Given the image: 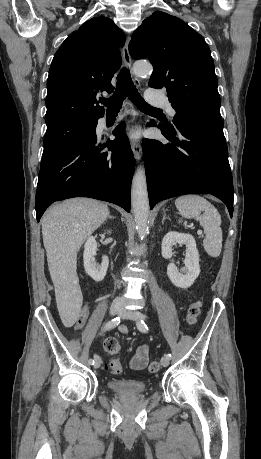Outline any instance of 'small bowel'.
I'll return each instance as SVG.
<instances>
[{
    "label": "small bowel",
    "instance_id": "c3829d8e",
    "mask_svg": "<svg viewBox=\"0 0 261 459\" xmlns=\"http://www.w3.org/2000/svg\"><path fill=\"white\" fill-rule=\"evenodd\" d=\"M89 310H90L89 304H85L81 309L80 316L82 318L86 319L88 314H89ZM120 330L122 332H126L125 326H121ZM99 335H101V334H99ZM148 354H149L148 346H146V345L139 346L136 349V351H135V353H134V355H133V357L131 359V362H130L131 368L134 369V370H143V369H145L147 364H148Z\"/></svg>",
    "mask_w": 261,
    "mask_h": 459
}]
</instances>
